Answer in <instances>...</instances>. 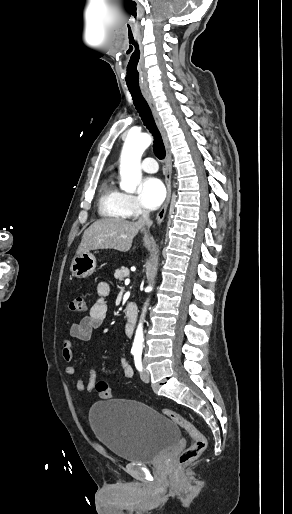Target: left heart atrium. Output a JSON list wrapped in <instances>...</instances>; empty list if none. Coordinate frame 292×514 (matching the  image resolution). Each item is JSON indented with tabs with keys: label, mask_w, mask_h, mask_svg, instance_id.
<instances>
[{
	"label": "left heart atrium",
	"mask_w": 292,
	"mask_h": 514,
	"mask_svg": "<svg viewBox=\"0 0 292 514\" xmlns=\"http://www.w3.org/2000/svg\"><path fill=\"white\" fill-rule=\"evenodd\" d=\"M165 197V187L162 181L156 177L144 179L139 187V199L147 209L157 208Z\"/></svg>",
	"instance_id": "left-heart-atrium-1"
}]
</instances>
